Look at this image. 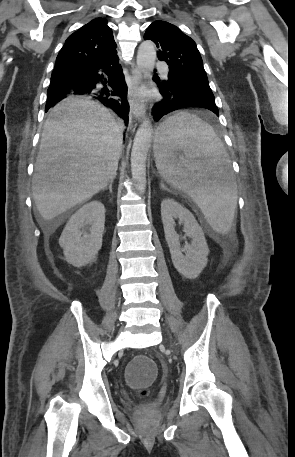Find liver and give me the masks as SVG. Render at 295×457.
<instances>
[{"instance_id":"liver-1","label":"liver","mask_w":295,"mask_h":457,"mask_svg":"<svg viewBox=\"0 0 295 457\" xmlns=\"http://www.w3.org/2000/svg\"><path fill=\"white\" fill-rule=\"evenodd\" d=\"M120 123L97 101L68 97L50 110L35 163L32 194L51 221L103 190L116 176Z\"/></svg>"}]
</instances>
